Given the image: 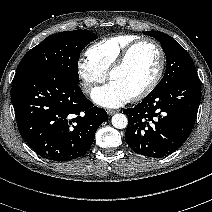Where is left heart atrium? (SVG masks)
<instances>
[{"label":"left heart atrium","instance_id":"left-heart-atrium-1","mask_svg":"<svg viewBox=\"0 0 212 212\" xmlns=\"http://www.w3.org/2000/svg\"><path fill=\"white\" fill-rule=\"evenodd\" d=\"M93 100L105 107H118L131 99V96L122 91L113 83L97 88L92 93Z\"/></svg>","mask_w":212,"mask_h":212}]
</instances>
